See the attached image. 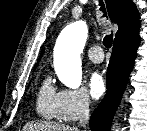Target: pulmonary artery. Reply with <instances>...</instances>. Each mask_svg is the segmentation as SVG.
Listing matches in <instances>:
<instances>
[{
    "instance_id": "1",
    "label": "pulmonary artery",
    "mask_w": 147,
    "mask_h": 131,
    "mask_svg": "<svg viewBox=\"0 0 147 131\" xmlns=\"http://www.w3.org/2000/svg\"><path fill=\"white\" fill-rule=\"evenodd\" d=\"M87 55L89 57V59L94 62V63H100L103 61V51L101 49V47L99 46H93L91 47L88 52Z\"/></svg>"
}]
</instances>
